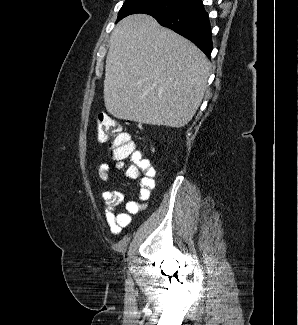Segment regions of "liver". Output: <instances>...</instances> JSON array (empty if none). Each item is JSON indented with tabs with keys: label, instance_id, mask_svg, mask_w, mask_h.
<instances>
[{
	"label": "liver",
	"instance_id": "obj_1",
	"mask_svg": "<svg viewBox=\"0 0 298 325\" xmlns=\"http://www.w3.org/2000/svg\"><path fill=\"white\" fill-rule=\"evenodd\" d=\"M209 74L193 42L149 14H130L111 32L104 104L116 118L180 128L198 110Z\"/></svg>",
	"mask_w": 298,
	"mask_h": 325
}]
</instances>
